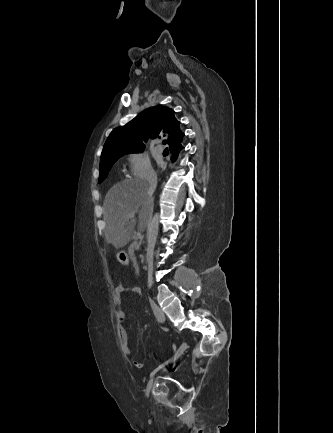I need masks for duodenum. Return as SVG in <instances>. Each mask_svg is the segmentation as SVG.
<instances>
[{"mask_svg":"<svg viewBox=\"0 0 333 433\" xmlns=\"http://www.w3.org/2000/svg\"><path fill=\"white\" fill-rule=\"evenodd\" d=\"M135 246H136V241H130L129 248H128V255H130V257L132 258V259H131V262L134 263V264H133V267H134V268H137V267H138V264L135 263L137 260L134 258V257H135V254H134V252H133V249H134Z\"/></svg>","mask_w":333,"mask_h":433,"instance_id":"1","label":"duodenum"}]
</instances>
